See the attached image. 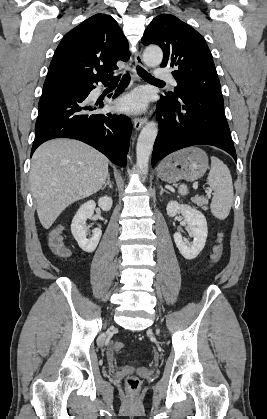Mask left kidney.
Masks as SVG:
<instances>
[{"label":"left kidney","instance_id":"left-kidney-1","mask_svg":"<svg viewBox=\"0 0 267 419\" xmlns=\"http://www.w3.org/2000/svg\"><path fill=\"white\" fill-rule=\"evenodd\" d=\"M166 210L167 215L170 217H174L177 213H181L184 217V220L190 227L193 242L188 246L180 233L173 235L174 241L184 258L188 260L196 258L204 248L207 239L208 229L205 216L195 207L179 204L176 201H170Z\"/></svg>","mask_w":267,"mask_h":419}]
</instances>
